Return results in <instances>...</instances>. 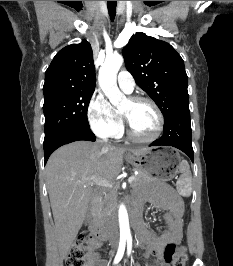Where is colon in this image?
<instances>
[{
    "instance_id": "5ec220e1",
    "label": "colon",
    "mask_w": 233,
    "mask_h": 266,
    "mask_svg": "<svg viewBox=\"0 0 233 266\" xmlns=\"http://www.w3.org/2000/svg\"><path fill=\"white\" fill-rule=\"evenodd\" d=\"M92 237L79 236L66 258V266H86L85 257ZM164 260L171 266H186L187 255L183 245L168 244L164 251Z\"/></svg>"
}]
</instances>
